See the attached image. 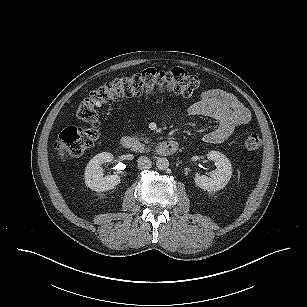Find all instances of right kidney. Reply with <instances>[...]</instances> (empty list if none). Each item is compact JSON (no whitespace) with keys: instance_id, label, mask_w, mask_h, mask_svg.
Listing matches in <instances>:
<instances>
[{"instance_id":"ca27d5eb","label":"right kidney","mask_w":307,"mask_h":307,"mask_svg":"<svg viewBox=\"0 0 307 307\" xmlns=\"http://www.w3.org/2000/svg\"><path fill=\"white\" fill-rule=\"evenodd\" d=\"M114 157L111 153L102 152L95 155L85 168V184L96 192L108 191L116 187L120 183V176L108 175L104 176L101 165L106 162L113 161Z\"/></svg>"}]
</instances>
